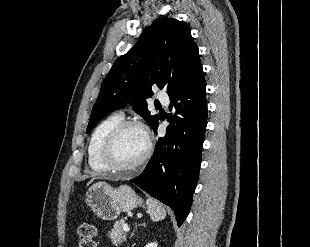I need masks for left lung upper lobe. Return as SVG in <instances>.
Returning <instances> with one entry per match:
<instances>
[{
	"mask_svg": "<svg viewBox=\"0 0 310 247\" xmlns=\"http://www.w3.org/2000/svg\"><path fill=\"white\" fill-rule=\"evenodd\" d=\"M201 66L198 47L186 24L166 17L154 21L103 80L87 133L101 118L128 102L153 128L159 118L150 115L146 102L153 94L152 85L167 89L170 95Z\"/></svg>",
	"mask_w": 310,
	"mask_h": 247,
	"instance_id": "left-lung-upper-lobe-1",
	"label": "left lung upper lobe"
}]
</instances>
